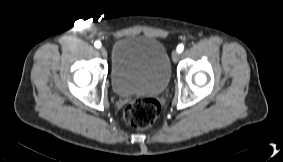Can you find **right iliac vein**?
<instances>
[{
	"instance_id": "right-iliac-vein-1",
	"label": "right iliac vein",
	"mask_w": 283,
	"mask_h": 162,
	"mask_svg": "<svg viewBox=\"0 0 283 162\" xmlns=\"http://www.w3.org/2000/svg\"><path fill=\"white\" fill-rule=\"evenodd\" d=\"M99 51L103 57H107V50L104 47H101Z\"/></svg>"
}]
</instances>
